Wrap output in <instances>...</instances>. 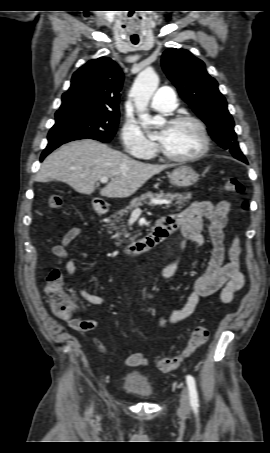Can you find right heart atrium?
I'll list each match as a JSON object with an SVG mask.
<instances>
[{
    "label": "right heart atrium",
    "mask_w": 270,
    "mask_h": 453,
    "mask_svg": "<svg viewBox=\"0 0 270 453\" xmlns=\"http://www.w3.org/2000/svg\"><path fill=\"white\" fill-rule=\"evenodd\" d=\"M125 152L133 157H150L156 151V145L149 140L141 128L133 121H126L120 133Z\"/></svg>",
    "instance_id": "obj_1"
}]
</instances>
